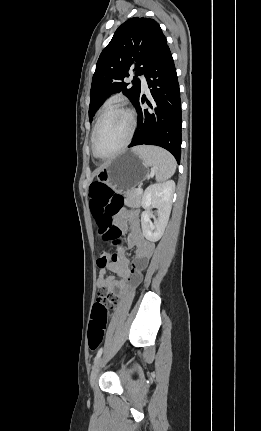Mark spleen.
<instances>
[{
	"label": "spleen",
	"mask_w": 261,
	"mask_h": 431,
	"mask_svg": "<svg viewBox=\"0 0 261 431\" xmlns=\"http://www.w3.org/2000/svg\"><path fill=\"white\" fill-rule=\"evenodd\" d=\"M133 150L141 156L145 164L154 168L158 182L166 181L174 175L176 161L168 151L152 146H139Z\"/></svg>",
	"instance_id": "1"
}]
</instances>
